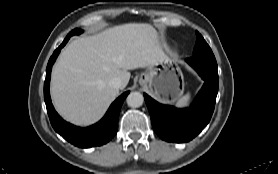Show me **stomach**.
Instances as JSON below:
<instances>
[{
	"label": "stomach",
	"mask_w": 278,
	"mask_h": 174,
	"mask_svg": "<svg viewBox=\"0 0 278 174\" xmlns=\"http://www.w3.org/2000/svg\"><path fill=\"white\" fill-rule=\"evenodd\" d=\"M140 84H148L152 94L166 103L175 102L184 91V77L177 64L166 58L140 76Z\"/></svg>",
	"instance_id": "obj_1"
}]
</instances>
